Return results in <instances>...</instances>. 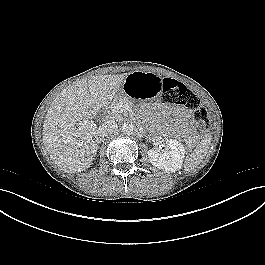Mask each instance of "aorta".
<instances>
[{
	"label": "aorta",
	"mask_w": 265,
	"mask_h": 265,
	"mask_svg": "<svg viewBox=\"0 0 265 265\" xmlns=\"http://www.w3.org/2000/svg\"><path fill=\"white\" fill-rule=\"evenodd\" d=\"M134 130V126L131 123L128 122H124L121 126V131L126 134V135H130L133 133Z\"/></svg>",
	"instance_id": "aorta-1"
}]
</instances>
